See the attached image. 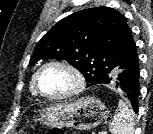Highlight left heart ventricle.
Masks as SVG:
<instances>
[{
    "label": "left heart ventricle",
    "mask_w": 153,
    "mask_h": 134,
    "mask_svg": "<svg viewBox=\"0 0 153 134\" xmlns=\"http://www.w3.org/2000/svg\"><path fill=\"white\" fill-rule=\"evenodd\" d=\"M38 86L45 94H60L74 86V78L62 68L49 67L40 74Z\"/></svg>",
    "instance_id": "obj_1"
}]
</instances>
